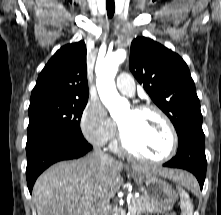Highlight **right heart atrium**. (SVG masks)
<instances>
[{
  "label": "right heart atrium",
  "mask_w": 221,
  "mask_h": 215,
  "mask_svg": "<svg viewBox=\"0 0 221 215\" xmlns=\"http://www.w3.org/2000/svg\"><path fill=\"white\" fill-rule=\"evenodd\" d=\"M80 128L85 139L95 146L112 143L117 135V127L108 116L103 105L90 100L81 115Z\"/></svg>",
  "instance_id": "right-heart-atrium-1"
}]
</instances>
